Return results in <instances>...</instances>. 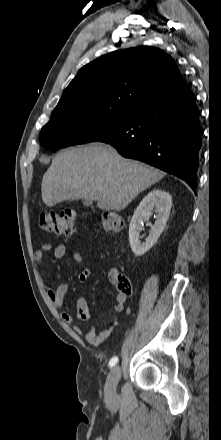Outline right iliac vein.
Returning <instances> with one entry per match:
<instances>
[{"mask_svg": "<svg viewBox=\"0 0 221 440\" xmlns=\"http://www.w3.org/2000/svg\"><path fill=\"white\" fill-rule=\"evenodd\" d=\"M121 376V370L118 366H114L107 378L106 384H105V395L107 398H114L116 396V388L119 382Z\"/></svg>", "mask_w": 221, "mask_h": 440, "instance_id": "63e3f726", "label": "right iliac vein"}]
</instances>
